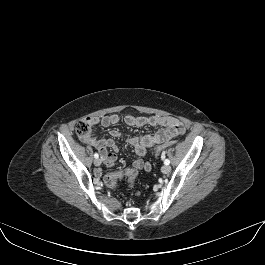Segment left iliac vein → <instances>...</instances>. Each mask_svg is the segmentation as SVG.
<instances>
[{
  "instance_id": "1",
  "label": "left iliac vein",
  "mask_w": 265,
  "mask_h": 265,
  "mask_svg": "<svg viewBox=\"0 0 265 265\" xmlns=\"http://www.w3.org/2000/svg\"><path fill=\"white\" fill-rule=\"evenodd\" d=\"M162 173L168 174L171 171V167L169 165H164L161 168Z\"/></svg>"
}]
</instances>
